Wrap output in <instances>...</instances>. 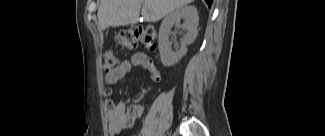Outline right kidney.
<instances>
[{"label": "right kidney", "mask_w": 325, "mask_h": 136, "mask_svg": "<svg viewBox=\"0 0 325 136\" xmlns=\"http://www.w3.org/2000/svg\"><path fill=\"white\" fill-rule=\"evenodd\" d=\"M187 31L181 42L180 50L173 51L169 36L174 25H180ZM199 17L195 6H182L169 13L161 23L159 30V51L161 62L170 67L176 64L187 52V45L193 43L198 35Z\"/></svg>", "instance_id": "1"}]
</instances>
